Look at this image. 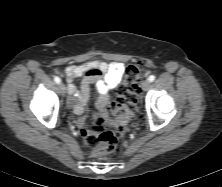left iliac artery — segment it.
<instances>
[{
	"mask_svg": "<svg viewBox=\"0 0 222 187\" xmlns=\"http://www.w3.org/2000/svg\"><path fill=\"white\" fill-rule=\"evenodd\" d=\"M155 80V76L154 75H151L150 77H149V81L150 82H153Z\"/></svg>",
	"mask_w": 222,
	"mask_h": 187,
	"instance_id": "1",
	"label": "left iliac artery"
}]
</instances>
